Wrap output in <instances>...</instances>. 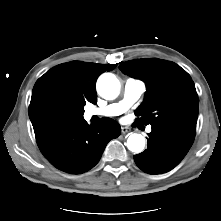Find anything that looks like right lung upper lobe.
Returning a JSON list of instances; mask_svg holds the SVG:
<instances>
[{"mask_svg":"<svg viewBox=\"0 0 221 221\" xmlns=\"http://www.w3.org/2000/svg\"><path fill=\"white\" fill-rule=\"evenodd\" d=\"M116 65L72 61L41 76L34 85L28 110L35 134L56 122L72 119L87 101L97 103L96 80Z\"/></svg>","mask_w":221,"mask_h":221,"instance_id":"right-lung-upper-lobe-1","label":"right lung upper lobe"}]
</instances>
